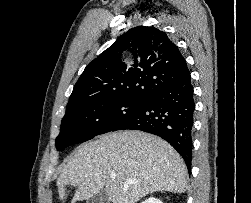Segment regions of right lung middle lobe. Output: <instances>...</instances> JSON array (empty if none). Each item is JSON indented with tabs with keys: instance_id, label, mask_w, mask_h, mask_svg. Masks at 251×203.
I'll use <instances>...</instances> for the list:
<instances>
[{
	"instance_id": "obj_1",
	"label": "right lung middle lobe",
	"mask_w": 251,
	"mask_h": 203,
	"mask_svg": "<svg viewBox=\"0 0 251 203\" xmlns=\"http://www.w3.org/2000/svg\"><path fill=\"white\" fill-rule=\"evenodd\" d=\"M144 101L107 99L68 105L55 144L58 151L110 132L122 120L139 110Z\"/></svg>"
}]
</instances>
